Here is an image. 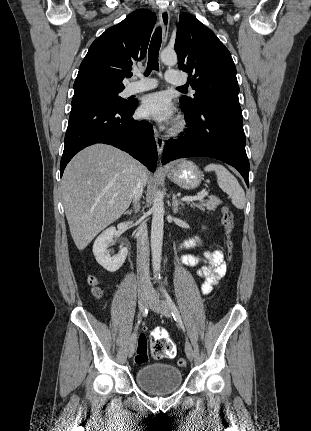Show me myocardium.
<instances>
[{
	"mask_svg": "<svg viewBox=\"0 0 311 431\" xmlns=\"http://www.w3.org/2000/svg\"><path fill=\"white\" fill-rule=\"evenodd\" d=\"M184 123L179 124L175 129H173V134L180 133L184 130Z\"/></svg>",
	"mask_w": 311,
	"mask_h": 431,
	"instance_id": "obj_1",
	"label": "myocardium"
}]
</instances>
